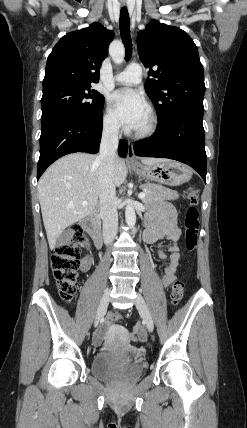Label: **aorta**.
<instances>
[{
	"label": "aorta",
	"mask_w": 247,
	"mask_h": 428,
	"mask_svg": "<svg viewBox=\"0 0 247 428\" xmlns=\"http://www.w3.org/2000/svg\"><path fill=\"white\" fill-rule=\"evenodd\" d=\"M111 57L116 64H121L124 61L125 53L122 45L111 49ZM126 223L129 227H134L136 223V214L131 201H127L125 209Z\"/></svg>",
	"instance_id": "762f6f07"
}]
</instances>
